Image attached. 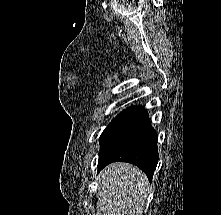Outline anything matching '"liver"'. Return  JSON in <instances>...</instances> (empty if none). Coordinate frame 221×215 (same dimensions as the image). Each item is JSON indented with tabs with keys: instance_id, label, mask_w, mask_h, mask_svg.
Returning a JSON list of instances; mask_svg holds the SVG:
<instances>
[{
	"instance_id": "1",
	"label": "liver",
	"mask_w": 221,
	"mask_h": 215,
	"mask_svg": "<svg viewBox=\"0 0 221 215\" xmlns=\"http://www.w3.org/2000/svg\"><path fill=\"white\" fill-rule=\"evenodd\" d=\"M98 182L96 215H142L149 183L139 168L112 163L100 172Z\"/></svg>"
}]
</instances>
